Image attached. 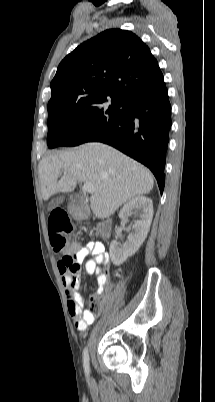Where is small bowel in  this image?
Masks as SVG:
<instances>
[{"label":"small bowel","mask_w":215,"mask_h":402,"mask_svg":"<svg viewBox=\"0 0 215 402\" xmlns=\"http://www.w3.org/2000/svg\"><path fill=\"white\" fill-rule=\"evenodd\" d=\"M90 255L93 258L86 260L83 273L85 276L95 274L98 284L97 294L99 296L108 295L111 287L108 284L109 270L106 267L109 265L110 260L105 252V246L101 242L90 241L83 245L82 250H77V255L74 259L80 265ZM102 266L105 267L104 270ZM58 270L65 288L69 314L74 321L75 327L79 331H85L95 321L96 315L88 310H83V299L79 293L82 283L80 268L71 272L67 267H63L59 261Z\"/></svg>","instance_id":"1"}]
</instances>
